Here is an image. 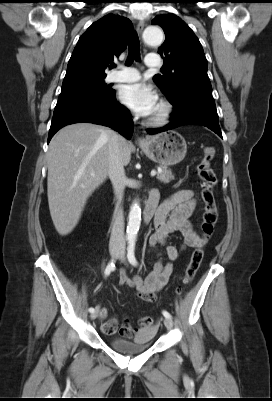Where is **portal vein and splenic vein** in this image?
<instances>
[{"label": "portal vein and splenic vein", "mask_w": 272, "mask_h": 401, "mask_svg": "<svg viewBox=\"0 0 272 401\" xmlns=\"http://www.w3.org/2000/svg\"><path fill=\"white\" fill-rule=\"evenodd\" d=\"M155 175H156V171H155V170H152V171H151V176L154 177Z\"/></svg>", "instance_id": "portal-vein-and-splenic-vein-1"}]
</instances>
